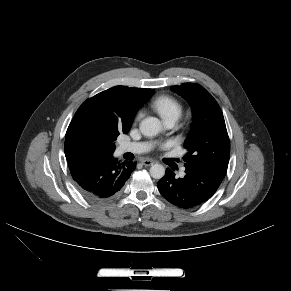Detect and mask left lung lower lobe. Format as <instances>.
<instances>
[{
	"mask_svg": "<svg viewBox=\"0 0 291 291\" xmlns=\"http://www.w3.org/2000/svg\"><path fill=\"white\" fill-rule=\"evenodd\" d=\"M185 177L176 178L171 169L159 180L158 190L170 203L180 208H191L211 198L225 175L201 167L185 166Z\"/></svg>",
	"mask_w": 291,
	"mask_h": 291,
	"instance_id": "left-lung-lower-lobe-1",
	"label": "left lung lower lobe"
}]
</instances>
